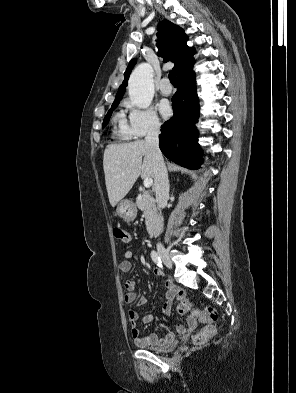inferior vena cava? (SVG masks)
Wrapping results in <instances>:
<instances>
[{
	"mask_svg": "<svg viewBox=\"0 0 296 393\" xmlns=\"http://www.w3.org/2000/svg\"><path fill=\"white\" fill-rule=\"evenodd\" d=\"M159 133L160 124H152L145 137V143L150 148L154 161V186L156 192V202L159 209H163L166 207L167 200L169 198V181L167 169L159 148Z\"/></svg>",
	"mask_w": 296,
	"mask_h": 393,
	"instance_id": "inferior-vena-cava-1",
	"label": "inferior vena cava"
}]
</instances>
